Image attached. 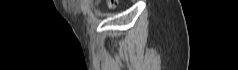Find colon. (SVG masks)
I'll list each match as a JSON object with an SVG mask.
<instances>
[{
    "mask_svg": "<svg viewBox=\"0 0 238 70\" xmlns=\"http://www.w3.org/2000/svg\"><path fill=\"white\" fill-rule=\"evenodd\" d=\"M108 4L111 6V7H114L116 6V1H109Z\"/></svg>",
    "mask_w": 238,
    "mask_h": 70,
    "instance_id": "colon-1",
    "label": "colon"
}]
</instances>
